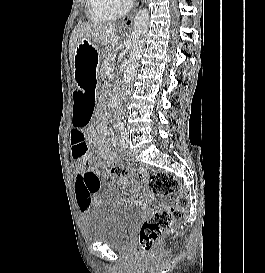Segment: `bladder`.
<instances>
[{"mask_svg":"<svg viewBox=\"0 0 265 273\" xmlns=\"http://www.w3.org/2000/svg\"><path fill=\"white\" fill-rule=\"evenodd\" d=\"M138 220L137 209L127 204L93 207L84 213L83 231L87 240L111 248H125Z\"/></svg>","mask_w":265,"mask_h":273,"instance_id":"1","label":"bladder"}]
</instances>
